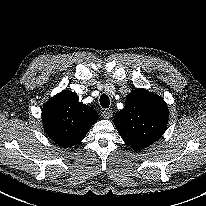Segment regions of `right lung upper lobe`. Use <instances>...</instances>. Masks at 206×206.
Wrapping results in <instances>:
<instances>
[{
	"instance_id": "1",
	"label": "right lung upper lobe",
	"mask_w": 206,
	"mask_h": 206,
	"mask_svg": "<svg viewBox=\"0 0 206 206\" xmlns=\"http://www.w3.org/2000/svg\"><path fill=\"white\" fill-rule=\"evenodd\" d=\"M98 113L79 102L71 91L52 97L43 107V127L49 138L62 147H72L85 137L97 121Z\"/></svg>"
}]
</instances>
